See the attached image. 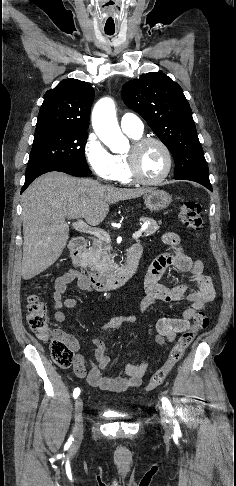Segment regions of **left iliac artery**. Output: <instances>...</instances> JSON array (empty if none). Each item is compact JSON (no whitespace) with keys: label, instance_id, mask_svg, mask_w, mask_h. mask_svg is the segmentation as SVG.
I'll return each mask as SVG.
<instances>
[{"label":"left iliac artery","instance_id":"1","mask_svg":"<svg viewBox=\"0 0 236 486\" xmlns=\"http://www.w3.org/2000/svg\"><path fill=\"white\" fill-rule=\"evenodd\" d=\"M162 404L164 406H166L167 409H169L170 411H173L172 405H171L170 401L166 397H163L162 398ZM174 430L176 432H180V427H179V424H178L177 420L175 421V428H174Z\"/></svg>","mask_w":236,"mask_h":486}]
</instances>
